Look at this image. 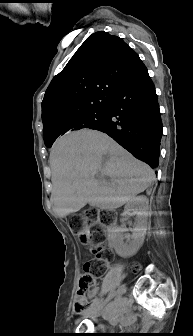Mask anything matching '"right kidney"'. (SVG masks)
Returning <instances> with one entry per match:
<instances>
[{
    "mask_svg": "<svg viewBox=\"0 0 193 336\" xmlns=\"http://www.w3.org/2000/svg\"><path fill=\"white\" fill-rule=\"evenodd\" d=\"M148 199L146 196H137L126 202L124 214H130V211L136 215L135 227L132 233V241L129 243H123L121 237V246L125 249L126 255H134L142 246L145 234L147 230L148 219ZM119 232H123L124 228H118Z\"/></svg>",
    "mask_w": 193,
    "mask_h": 336,
    "instance_id": "obj_1",
    "label": "right kidney"
}]
</instances>
